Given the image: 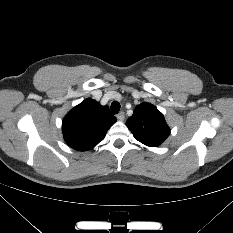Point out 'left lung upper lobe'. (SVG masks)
I'll use <instances>...</instances> for the list:
<instances>
[{
  "label": "left lung upper lobe",
  "instance_id": "5c2ea615",
  "mask_svg": "<svg viewBox=\"0 0 233 233\" xmlns=\"http://www.w3.org/2000/svg\"><path fill=\"white\" fill-rule=\"evenodd\" d=\"M126 125L136 140L149 147L159 146L170 134L163 114L150 103L138 105Z\"/></svg>",
  "mask_w": 233,
  "mask_h": 233
}]
</instances>
